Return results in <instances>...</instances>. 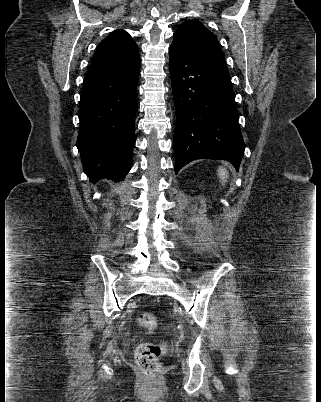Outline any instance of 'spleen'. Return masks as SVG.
Segmentation results:
<instances>
[{"instance_id":"1","label":"spleen","mask_w":321,"mask_h":402,"mask_svg":"<svg viewBox=\"0 0 321 402\" xmlns=\"http://www.w3.org/2000/svg\"><path fill=\"white\" fill-rule=\"evenodd\" d=\"M217 172L220 182L224 185L227 182V179L229 178V173L227 169L225 167H219Z\"/></svg>"}]
</instances>
